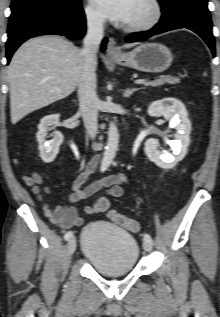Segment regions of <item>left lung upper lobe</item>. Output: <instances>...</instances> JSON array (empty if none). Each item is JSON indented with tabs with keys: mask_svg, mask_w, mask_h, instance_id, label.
Wrapping results in <instances>:
<instances>
[{
	"mask_svg": "<svg viewBox=\"0 0 220 317\" xmlns=\"http://www.w3.org/2000/svg\"><path fill=\"white\" fill-rule=\"evenodd\" d=\"M173 1H175V0H159L162 7H166V6L170 5Z\"/></svg>",
	"mask_w": 220,
	"mask_h": 317,
	"instance_id": "obj_1",
	"label": "left lung upper lobe"
}]
</instances>
